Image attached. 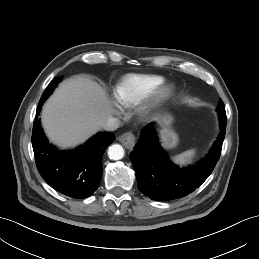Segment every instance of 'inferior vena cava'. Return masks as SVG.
<instances>
[{
  "instance_id": "602c4592",
  "label": "inferior vena cava",
  "mask_w": 259,
  "mask_h": 259,
  "mask_svg": "<svg viewBox=\"0 0 259 259\" xmlns=\"http://www.w3.org/2000/svg\"><path fill=\"white\" fill-rule=\"evenodd\" d=\"M120 126V120L118 118L109 117L104 123L103 128L108 131H114Z\"/></svg>"
}]
</instances>
